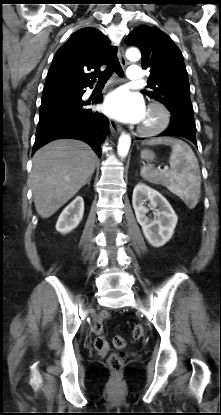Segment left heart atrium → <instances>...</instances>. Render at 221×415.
I'll list each match as a JSON object with an SVG mask.
<instances>
[{
	"mask_svg": "<svg viewBox=\"0 0 221 415\" xmlns=\"http://www.w3.org/2000/svg\"><path fill=\"white\" fill-rule=\"evenodd\" d=\"M104 113L125 123H140L146 112L142 97L125 87L108 94L103 103Z\"/></svg>",
	"mask_w": 221,
	"mask_h": 415,
	"instance_id": "obj_1",
	"label": "left heart atrium"
}]
</instances>
